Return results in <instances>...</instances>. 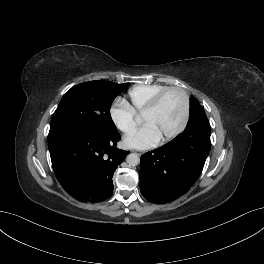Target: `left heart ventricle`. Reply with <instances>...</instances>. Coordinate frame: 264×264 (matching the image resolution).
Listing matches in <instances>:
<instances>
[{
    "label": "left heart ventricle",
    "mask_w": 264,
    "mask_h": 264,
    "mask_svg": "<svg viewBox=\"0 0 264 264\" xmlns=\"http://www.w3.org/2000/svg\"><path fill=\"white\" fill-rule=\"evenodd\" d=\"M183 115V98L180 93H168L156 110L142 116L145 124H151L161 137L173 132L180 124Z\"/></svg>",
    "instance_id": "left-heart-ventricle-1"
}]
</instances>
